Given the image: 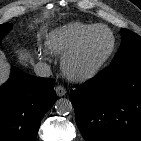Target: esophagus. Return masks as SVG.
I'll use <instances>...</instances> for the list:
<instances>
[{
	"mask_svg": "<svg viewBox=\"0 0 141 141\" xmlns=\"http://www.w3.org/2000/svg\"><path fill=\"white\" fill-rule=\"evenodd\" d=\"M55 91H56V94H57L58 97H62L66 94V89L61 85H58L55 88Z\"/></svg>",
	"mask_w": 141,
	"mask_h": 141,
	"instance_id": "34e87169",
	"label": "esophagus"
}]
</instances>
